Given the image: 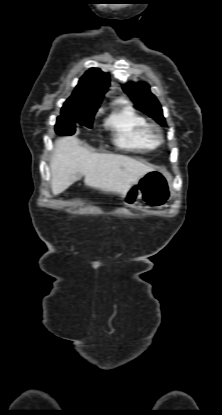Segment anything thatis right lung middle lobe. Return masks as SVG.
I'll return each mask as SVG.
<instances>
[{"label":"right lung middle lobe","instance_id":"right-lung-middle-lobe-1","mask_svg":"<svg viewBox=\"0 0 222 415\" xmlns=\"http://www.w3.org/2000/svg\"><path fill=\"white\" fill-rule=\"evenodd\" d=\"M96 108L71 107L62 109L61 116L57 118L55 131L59 135H72L75 132V124L92 128V121Z\"/></svg>","mask_w":222,"mask_h":415}]
</instances>
